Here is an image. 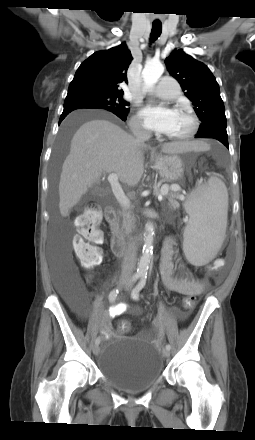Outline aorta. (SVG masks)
Instances as JSON below:
<instances>
[{"mask_svg":"<svg viewBox=\"0 0 255 440\" xmlns=\"http://www.w3.org/2000/svg\"><path fill=\"white\" fill-rule=\"evenodd\" d=\"M164 72V66L159 61H149L145 64L142 71V77L146 89L152 88L162 76ZM146 233L144 235V245L142 255L138 262L137 272L139 274H147L151 256L153 253V236L154 226L151 223H147L145 226Z\"/></svg>","mask_w":255,"mask_h":440,"instance_id":"1","label":"aorta"}]
</instances>
